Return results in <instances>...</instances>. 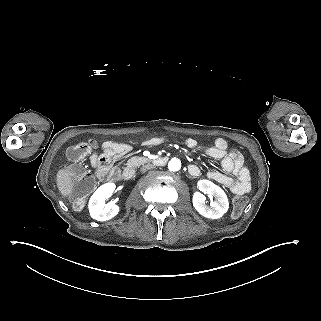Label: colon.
Wrapping results in <instances>:
<instances>
[{"label": "colon", "mask_w": 321, "mask_h": 321, "mask_svg": "<svg viewBox=\"0 0 321 321\" xmlns=\"http://www.w3.org/2000/svg\"><path fill=\"white\" fill-rule=\"evenodd\" d=\"M96 147V142L90 140L89 142H83L76 144L69 148L67 157L69 161L74 165L72 172L76 177V183L71 191V195L74 198L77 207H81L85 198L91 193L95 186L93 177L81 167V162L93 151ZM247 199L238 195L233 199L232 215L238 217L241 215L245 208Z\"/></svg>", "instance_id": "obj_1"}]
</instances>
